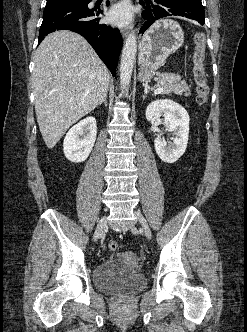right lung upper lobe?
Masks as SVG:
<instances>
[{
  "label": "right lung upper lobe",
  "instance_id": "right-lung-upper-lobe-1",
  "mask_svg": "<svg viewBox=\"0 0 247 332\" xmlns=\"http://www.w3.org/2000/svg\"><path fill=\"white\" fill-rule=\"evenodd\" d=\"M47 1L51 2V1H57V0H47Z\"/></svg>",
  "mask_w": 247,
  "mask_h": 332
}]
</instances>
